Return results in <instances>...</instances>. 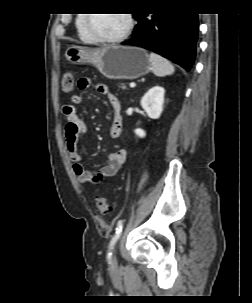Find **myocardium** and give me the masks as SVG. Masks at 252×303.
<instances>
[{
	"instance_id": "1",
	"label": "myocardium",
	"mask_w": 252,
	"mask_h": 303,
	"mask_svg": "<svg viewBox=\"0 0 252 303\" xmlns=\"http://www.w3.org/2000/svg\"><path fill=\"white\" fill-rule=\"evenodd\" d=\"M126 17H127V25L125 27V29L120 33L117 34L115 36H101L98 34L93 33L90 28V22L92 17H86L85 18V29L89 35V39L92 40H98V41H102V42H106V43H115V42H120L123 39H125L131 32L133 26H134V16L132 13H125Z\"/></svg>"
}]
</instances>
